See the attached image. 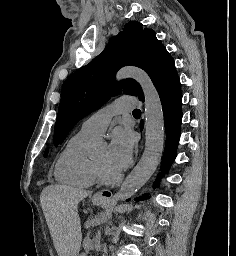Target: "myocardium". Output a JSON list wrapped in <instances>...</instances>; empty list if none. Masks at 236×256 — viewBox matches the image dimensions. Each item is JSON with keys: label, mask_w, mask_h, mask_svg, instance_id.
I'll list each match as a JSON object with an SVG mask.
<instances>
[{"label": "myocardium", "mask_w": 236, "mask_h": 256, "mask_svg": "<svg viewBox=\"0 0 236 256\" xmlns=\"http://www.w3.org/2000/svg\"><path fill=\"white\" fill-rule=\"evenodd\" d=\"M93 172L95 175L96 180L106 186H111V185H116L118 184L122 178V174H114V175H109L106 174L94 161L93 159L91 160Z\"/></svg>", "instance_id": "1"}]
</instances>
